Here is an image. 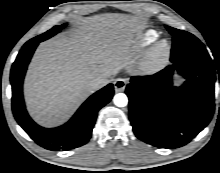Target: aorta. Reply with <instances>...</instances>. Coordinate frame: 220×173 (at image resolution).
Segmentation results:
<instances>
[{
    "label": "aorta",
    "instance_id": "obj_1",
    "mask_svg": "<svg viewBox=\"0 0 220 173\" xmlns=\"http://www.w3.org/2000/svg\"><path fill=\"white\" fill-rule=\"evenodd\" d=\"M113 102L118 107H125L128 104V98L124 93H118L114 96Z\"/></svg>",
    "mask_w": 220,
    "mask_h": 173
}]
</instances>
